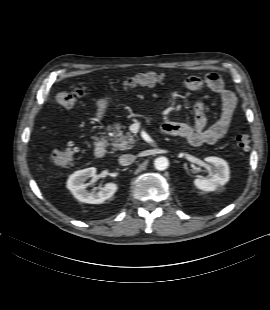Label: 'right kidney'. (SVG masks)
<instances>
[{"label": "right kidney", "instance_id": "1", "mask_svg": "<svg viewBox=\"0 0 270 310\" xmlns=\"http://www.w3.org/2000/svg\"><path fill=\"white\" fill-rule=\"evenodd\" d=\"M95 174L96 168L90 167L76 171L69 176L66 186L80 202L101 204L111 198L117 191V185L115 183H107L97 193L87 191L85 181L90 177H94Z\"/></svg>", "mask_w": 270, "mask_h": 310}]
</instances>
